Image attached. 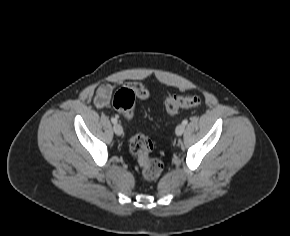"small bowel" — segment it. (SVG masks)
I'll use <instances>...</instances> for the list:
<instances>
[{"mask_svg":"<svg viewBox=\"0 0 290 236\" xmlns=\"http://www.w3.org/2000/svg\"><path fill=\"white\" fill-rule=\"evenodd\" d=\"M129 86L136 90L140 98L145 99L149 96L148 90L143 85L131 83ZM113 90L114 86L108 83H104L98 87L94 100L97 108L103 109L109 104Z\"/></svg>","mask_w":290,"mask_h":236,"instance_id":"small-bowel-1","label":"small bowel"}]
</instances>
